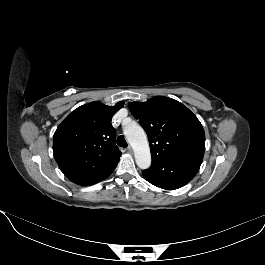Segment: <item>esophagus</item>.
<instances>
[{
    "mask_svg": "<svg viewBox=\"0 0 265 265\" xmlns=\"http://www.w3.org/2000/svg\"><path fill=\"white\" fill-rule=\"evenodd\" d=\"M127 151H128L129 153H132V152H133L132 147H131V146H128V147H127Z\"/></svg>",
    "mask_w": 265,
    "mask_h": 265,
    "instance_id": "1",
    "label": "esophagus"
}]
</instances>
